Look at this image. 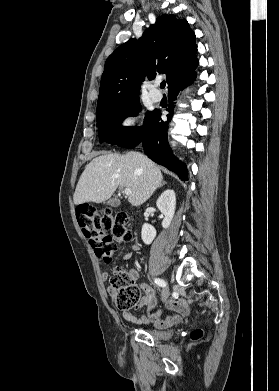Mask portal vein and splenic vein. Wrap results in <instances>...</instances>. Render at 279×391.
Instances as JSON below:
<instances>
[{
	"label": "portal vein and splenic vein",
	"instance_id": "obj_1",
	"mask_svg": "<svg viewBox=\"0 0 279 391\" xmlns=\"http://www.w3.org/2000/svg\"><path fill=\"white\" fill-rule=\"evenodd\" d=\"M131 193H132V192H131V190H130L129 188H125V189H124V194H125V195L128 196V195H130Z\"/></svg>",
	"mask_w": 279,
	"mask_h": 391
}]
</instances>
